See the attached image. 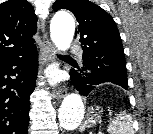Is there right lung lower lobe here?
Returning <instances> with one entry per match:
<instances>
[{"label": "right lung lower lobe", "mask_w": 153, "mask_h": 134, "mask_svg": "<svg viewBox=\"0 0 153 134\" xmlns=\"http://www.w3.org/2000/svg\"><path fill=\"white\" fill-rule=\"evenodd\" d=\"M37 71L36 47L0 63V134H28Z\"/></svg>", "instance_id": "1"}]
</instances>
